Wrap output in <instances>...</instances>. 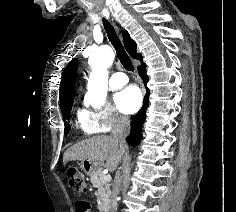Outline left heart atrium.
<instances>
[{
  "instance_id": "1",
  "label": "left heart atrium",
  "mask_w": 236,
  "mask_h": 212,
  "mask_svg": "<svg viewBox=\"0 0 236 212\" xmlns=\"http://www.w3.org/2000/svg\"><path fill=\"white\" fill-rule=\"evenodd\" d=\"M142 103V93L135 85L124 88L115 96V104L124 114L135 113Z\"/></svg>"
}]
</instances>
